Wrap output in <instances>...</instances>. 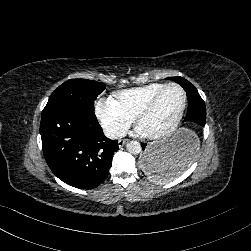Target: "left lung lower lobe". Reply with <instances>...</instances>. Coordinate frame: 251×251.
Returning a JSON list of instances; mask_svg holds the SVG:
<instances>
[{"mask_svg": "<svg viewBox=\"0 0 251 251\" xmlns=\"http://www.w3.org/2000/svg\"><path fill=\"white\" fill-rule=\"evenodd\" d=\"M188 97V111L183 122L184 130L172 141L156 147L146 148L140 159L144 176L155 182H166L184 173L196 160L206 123L205 103L195 96Z\"/></svg>", "mask_w": 251, "mask_h": 251, "instance_id": "obj_1", "label": "left lung lower lobe"}]
</instances>
